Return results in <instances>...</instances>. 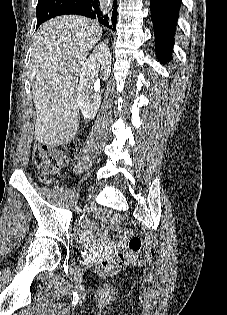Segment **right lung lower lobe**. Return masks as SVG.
I'll list each match as a JSON object with an SVG mask.
<instances>
[{"instance_id": "1", "label": "right lung lower lobe", "mask_w": 227, "mask_h": 315, "mask_svg": "<svg viewBox=\"0 0 227 315\" xmlns=\"http://www.w3.org/2000/svg\"><path fill=\"white\" fill-rule=\"evenodd\" d=\"M99 0H64L51 14V18L60 15H82L98 20L104 26L115 31L117 19V0L113 2L112 16L103 15L99 10Z\"/></svg>"}]
</instances>
